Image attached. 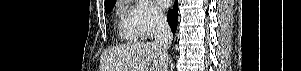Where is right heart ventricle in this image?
<instances>
[{
    "label": "right heart ventricle",
    "mask_w": 301,
    "mask_h": 71,
    "mask_svg": "<svg viewBox=\"0 0 301 71\" xmlns=\"http://www.w3.org/2000/svg\"><path fill=\"white\" fill-rule=\"evenodd\" d=\"M118 31L122 38L128 41H137L138 35L135 28L130 20L129 13L121 8L119 18H118Z\"/></svg>",
    "instance_id": "e07e8e85"
}]
</instances>
